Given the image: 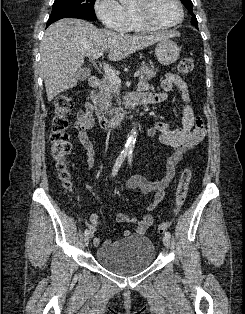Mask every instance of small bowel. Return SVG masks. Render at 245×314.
I'll return each instance as SVG.
<instances>
[{
    "label": "small bowel",
    "mask_w": 245,
    "mask_h": 314,
    "mask_svg": "<svg viewBox=\"0 0 245 314\" xmlns=\"http://www.w3.org/2000/svg\"><path fill=\"white\" fill-rule=\"evenodd\" d=\"M181 90V97L184 102L182 113V126L172 127L166 122H157L154 127L148 130L147 135L150 137H157L163 144L170 146L173 151L167 158L165 164V173L160 181L150 182L141 175L130 177L125 182V188L128 190L138 189L144 195L156 192L154 201L148 204L145 208L146 212L154 210L164 198V189L170 184L175 176L176 166L182 159L183 155L190 149L197 146L205 135V128L203 120L200 116L196 115L190 104L191 94L187 83L177 74L168 73L161 81L158 88H154L147 82L140 84L141 93L144 95L145 100L141 104H157L167 100L168 92L174 87ZM95 126L93 114L89 111L88 107L80 109L77 114V121L75 129L77 132V139L80 145L84 148L86 153V163L89 168L95 166V149L89 137V131ZM115 220L120 223L136 224L135 233L138 236H143L147 229L153 225L154 216L146 213L141 218L130 216L125 213L116 215ZM99 217L92 214L89 217V229L93 235L98 227ZM131 234L129 230L122 231V236L127 237ZM111 242L102 240L98 237L94 238V244H106Z\"/></svg>",
    "instance_id": "obj_1"
}]
</instances>
